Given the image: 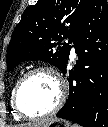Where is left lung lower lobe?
<instances>
[{"mask_svg":"<svg viewBox=\"0 0 108 127\" xmlns=\"http://www.w3.org/2000/svg\"><path fill=\"white\" fill-rule=\"evenodd\" d=\"M79 59L65 71L69 97L57 117L83 127H108V4L87 0L74 34ZM94 65L95 76L92 80ZM95 84V85H94Z\"/></svg>","mask_w":108,"mask_h":127,"instance_id":"0a47b994","label":"left lung lower lobe"}]
</instances>
